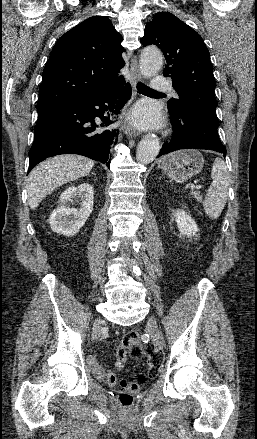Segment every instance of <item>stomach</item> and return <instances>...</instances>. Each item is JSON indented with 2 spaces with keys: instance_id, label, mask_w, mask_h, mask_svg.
Returning a JSON list of instances; mask_svg holds the SVG:
<instances>
[{
  "instance_id": "0dacf381",
  "label": "stomach",
  "mask_w": 257,
  "mask_h": 439,
  "mask_svg": "<svg viewBox=\"0 0 257 439\" xmlns=\"http://www.w3.org/2000/svg\"><path fill=\"white\" fill-rule=\"evenodd\" d=\"M203 165V156L193 149L175 151L159 162L160 168L177 183L187 181L200 173Z\"/></svg>"
}]
</instances>
